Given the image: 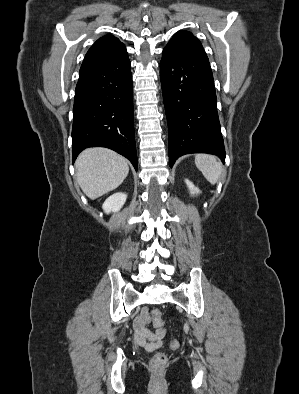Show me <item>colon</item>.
<instances>
[{"mask_svg": "<svg viewBox=\"0 0 299 394\" xmlns=\"http://www.w3.org/2000/svg\"><path fill=\"white\" fill-rule=\"evenodd\" d=\"M152 317H153L154 322L157 325L163 326V322L161 320V312L159 310H153L152 311ZM170 345H171L172 348H177L178 347V342L177 341H172L170 343ZM166 362H167L166 355L164 353L159 352V353H156V354H154L152 356V358L150 359L149 364H150L151 368L156 369V368H160V367L164 366L166 364Z\"/></svg>", "mask_w": 299, "mask_h": 394, "instance_id": "colon-1", "label": "colon"}]
</instances>
